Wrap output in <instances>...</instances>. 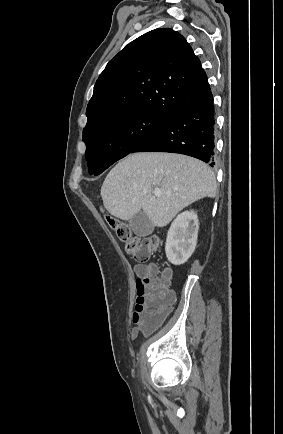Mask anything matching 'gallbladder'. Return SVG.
Masks as SVG:
<instances>
[{
    "instance_id": "gallbladder-1",
    "label": "gallbladder",
    "mask_w": 283,
    "mask_h": 434,
    "mask_svg": "<svg viewBox=\"0 0 283 434\" xmlns=\"http://www.w3.org/2000/svg\"><path fill=\"white\" fill-rule=\"evenodd\" d=\"M130 230L137 236L145 237L154 230V225L144 212L134 215L129 221Z\"/></svg>"
}]
</instances>
